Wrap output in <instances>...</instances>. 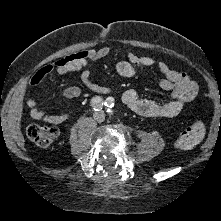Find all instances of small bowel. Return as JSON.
Masks as SVG:
<instances>
[{
    "label": "small bowel",
    "mask_w": 221,
    "mask_h": 221,
    "mask_svg": "<svg viewBox=\"0 0 221 221\" xmlns=\"http://www.w3.org/2000/svg\"><path fill=\"white\" fill-rule=\"evenodd\" d=\"M109 53L106 46L90 48L75 52L69 56L57 59L52 64L41 67L31 78V85H38L50 73L64 74L71 71L81 70V81L90 91L98 94H109L111 89L101 86L91 80L89 62L97 61ZM155 64L152 57L139 55L128 51L127 59L116 65V72L122 77H132L140 68H148ZM158 71L164 76L159 81V86L170 92L171 100L166 103L141 98L136 91L130 89L123 92L122 102L132 111L147 117H174L179 114L186 105L193 101L199 92L198 84L187 74L175 70L164 62L157 64ZM81 91L76 86L64 89L63 96L67 99L77 98ZM26 106L30 109V115L34 119L42 120L50 124H61L70 118L69 113L48 114L38 109L37 101L32 98L25 99Z\"/></svg>",
    "instance_id": "c3829d8e"
}]
</instances>
